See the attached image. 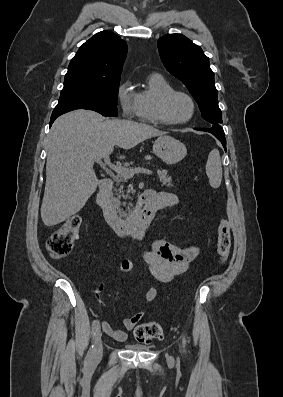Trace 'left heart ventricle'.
<instances>
[{
	"label": "left heart ventricle",
	"instance_id": "obj_1",
	"mask_svg": "<svg viewBox=\"0 0 283 397\" xmlns=\"http://www.w3.org/2000/svg\"><path fill=\"white\" fill-rule=\"evenodd\" d=\"M191 113V104L183 96L173 97L168 104V115L173 120H182Z\"/></svg>",
	"mask_w": 283,
	"mask_h": 397
}]
</instances>
